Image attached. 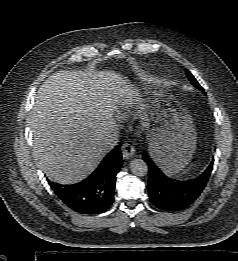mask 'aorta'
I'll return each instance as SVG.
<instances>
[{"label":"aorta","mask_w":238,"mask_h":261,"mask_svg":"<svg viewBox=\"0 0 238 261\" xmlns=\"http://www.w3.org/2000/svg\"><path fill=\"white\" fill-rule=\"evenodd\" d=\"M130 170L134 175L138 177H143L147 175L148 166L146 162L142 159H133L130 162Z\"/></svg>","instance_id":"aorta-1"}]
</instances>
